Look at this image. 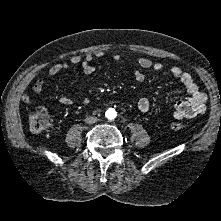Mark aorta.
Here are the masks:
<instances>
[{"instance_id": "762f6f07", "label": "aorta", "mask_w": 221, "mask_h": 221, "mask_svg": "<svg viewBox=\"0 0 221 221\" xmlns=\"http://www.w3.org/2000/svg\"><path fill=\"white\" fill-rule=\"evenodd\" d=\"M116 111L114 108H109L106 112H105V116L107 119L109 120H113L116 118Z\"/></svg>"}]
</instances>
